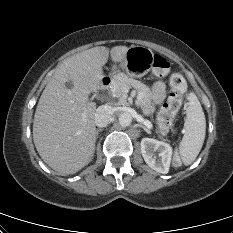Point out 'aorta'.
Masks as SVG:
<instances>
[{
	"mask_svg": "<svg viewBox=\"0 0 233 233\" xmlns=\"http://www.w3.org/2000/svg\"><path fill=\"white\" fill-rule=\"evenodd\" d=\"M118 120H119V124L122 127H127L132 122V115L130 113H128V112H123V113L120 114Z\"/></svg>",
	"mask_w": 233,
	"mask_h": 233,
	"instance_id": "obj_1",
	"label": "aorta"
}]
</instances>
